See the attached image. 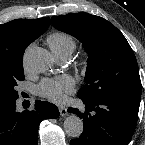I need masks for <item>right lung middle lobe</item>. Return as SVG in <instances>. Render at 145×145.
I'll return each mask as SVG.
<instances>
[{
  "label": "right lung middle lobe",
  "mask_w": 145,
  "mask_h": 145,
  "mask_svg": "<svg viewBox=\"0 0 145 145\" xmlns=\"http://www.w3.org/2000/svg\"><path fill=\"white\" fill-rule=\"evenodd\" d=\"M24 80L23 66L0 76V101H15L18 92L15 90L18 81Z\"/></svg>",
  "instance_id": "right-lung-middle-lobe-1"
}]
</instances>
